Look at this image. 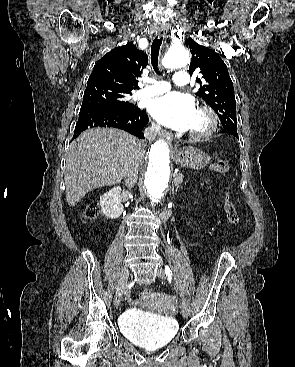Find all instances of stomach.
<instances>
[{
  "label": "stomach",
  "mask_w": 295,
  "mask_h": 367,
  "mask_svg": "<svg viewBox=\"0 0 295 367\" xmlns=\"http://www.w3.org/2000/svg\"><path fill=\"white\" fill-rule=\"evenodd\" d=\"M173 160L183 168L200 170L210 161V157L198 148L185 146L173 153Z\"/></svg>",
  "instance_id": "0dacf381"
}]
</instances>
